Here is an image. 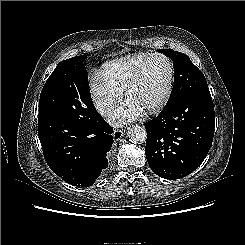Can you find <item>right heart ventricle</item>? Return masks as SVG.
Listing matches in <instances>:
<instances>
[{
	"mask_svg": "<svg viewBox=\"0 0 245 245\" xmlns=\"http://www.w3.org/2000/svg\"><path fill=\"white\" fill-rule=\"evenodd\" d=\"M149 54L134 53L105 63L102 73L111 84L123 90Z\"/></svg>",
	"mask_w": 245,
	"mask_h": 245,
	"instance_id": "1",
	"label": "right heart ventricle"
}]
</instances>
